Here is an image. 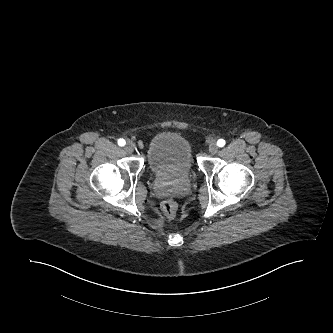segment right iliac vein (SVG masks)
<instances>
[{"instance_id": "63e3f726", "label": "right iliac vein", "mask_w": 333, "mask_h": 333, "mask_svg": "<svg viewBox=\"0 0 333 333\" xmlns=\"http://www.w3.org/2000/svg\"><path fill=\"white\" fill-rule=\"evenodd\" d=\"M134 144L132 142H127V144L125 145L124 147V150L127 152V153H132L134 151Z\"/></svg>"}]
</instances>
